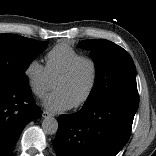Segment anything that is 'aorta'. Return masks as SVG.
Listing matches in <instances>:
<instances>
[{
	"label": "aorta",
	"instance_id": "762f6f07",
	"mask_svg": "<svg viewBox=\"0 0 156 156\" xmlns=\"http://www.w3.org/2000/svg\"><path fill=\"white\" fill-rule=\"evenodd\" d=\"M42 129L46 134L53 135L58 130V121L54 117H46L42 122Z\"/></svg>",
	"mask_w": 156,
	"mask_h": 156
}]
</instances>
